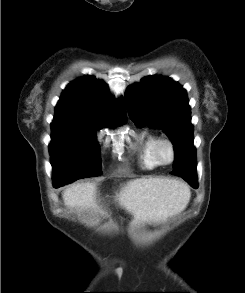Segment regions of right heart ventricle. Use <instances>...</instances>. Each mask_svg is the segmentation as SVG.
Returning a JSON list of instances; mask_svg holds the SVG:
<instances>
[{
	"label": "right heart ventricle",
	"instance_id": "e07e8e85",
	"mask_svg": "<svg viewBox=\"0 0 245 293\" xmlns=\"http://www.w3.org/2000/svg\"><path fill=\"white\" fill-rule=\"evenodd\" d=\"M158 139L159 137L151 132H144L140 138L138 162L144 170H152L160 166L154 153L155 144Z\"/></svg>",
	"mask_w": 245,
	"mask_h": 293
}]
</instances>
